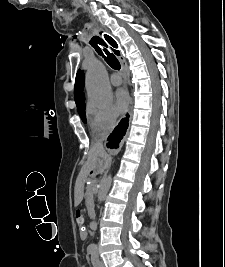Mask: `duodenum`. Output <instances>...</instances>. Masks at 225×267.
I'll use <instances>...</instances> for the list:
<instances>
[{
    "mask_svg": "<svg viewBox=\"0 0 225 267\" xmlns=\"http://www.w3.org/2000/svg\"><path fill=\"white\" fill-rule=\"evenodd\" d=\"M90 228L92 229V230H95L96 228H97V224H96V222H91V225H90Z\"/></svg>",
    "mask_w": 225,
    "mask_h": 267,
    "instance_id": "410a0bca",
    "label": "duodenum"
}]
</instances>
